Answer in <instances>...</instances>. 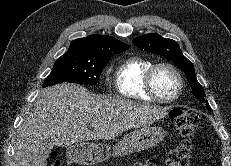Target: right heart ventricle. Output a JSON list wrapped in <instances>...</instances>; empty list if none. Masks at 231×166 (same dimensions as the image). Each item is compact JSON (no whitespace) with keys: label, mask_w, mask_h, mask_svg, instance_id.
Wrapping results in <instances>:
<instances>
[{"label":"right heart ventricle","mask_w":231,"mask_h":166,"mask_svg":"<svg viewBox=\"0 0 231 166\" xmlns=\"http://www.w3.org/2000/svg\"><path fill=\"white\" fill-rule=\"evenodd\" d=\"M153 65L150 59L141 56H131L125 59L116 69L115 88L126 99L151 101L145 90V75Z\"/></svg>","instance_id":"right-heart-ventricle-1"}]
</instances>
